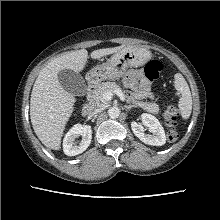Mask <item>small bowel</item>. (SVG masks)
I'll return each instance as SVG.
<instances>
[{
  "instance_id": "1",
  "label": "small bowel",
  "mask_w": 220,
  "mask_h": 220,
  "mask_svg": "<svg viewBox=\"0 0 220 220\" xmlns=\"http://www.w3.org/2000/svg\"><path fill=\"white\" fill-rule=\"evenodd\" d=\"M123 82L125 86L130 89H134V93H128V98H132L134 95L146 99L151 97V85L149 80L144 76L142 71L135 70L128 73Z\"/></svg>"
}]
</instances>
